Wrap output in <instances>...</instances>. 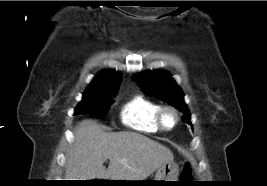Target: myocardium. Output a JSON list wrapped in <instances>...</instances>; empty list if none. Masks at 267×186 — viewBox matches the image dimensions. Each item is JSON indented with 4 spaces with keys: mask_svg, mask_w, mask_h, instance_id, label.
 <instances>
[{
    "mask_svg": "<svg viewBox=\"0 0 267 186\" xmlns=\"http://www.w3.org/2000/svg\"><path fill=\"white\" fill-rule=\"evenodd\" d=\"M166 112L173 113V115L175 117V121H174L172 126H166L164 123V115ZM179 121H180V114L176 108H174L173 106H170V105L160 106V108L158 109L157 114H156V123H157L160 130L171 131L179 124Z\"/></svg>",
    "mask_w": 267,
    "mask_h": 186,
    "instance_id": "obj_1",
    "label": "myocardium"
}]
</instances>
